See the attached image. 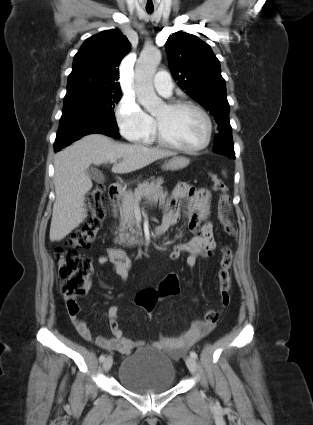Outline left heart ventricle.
I'll use <instances>...</instances> for the list:
<instances>
[{"instance_id": "1", "label": "left heart ventricle", "mask_w": 313, "mask_h": 425, "mask_svg": "<svg viewBox=\"0 0 313 425\" xmlns=\"http://www.w3.org/2000/svg\"><path fill=\"white\" fill-rule=\"evenodd\" d=\"M154 116L163 134L178 145L193 148L200 145L205 139V120L193 109L184 108L172 111L164 106Z\"/></svg>"}]
</instances>
